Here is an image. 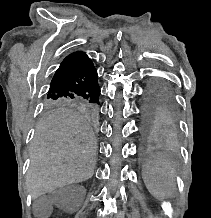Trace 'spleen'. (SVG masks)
Here are the masks:
<instances>
[{"label":"spleen","instance_id":"spleen-1","mask_svg":"<svg viewBox=\"0 0 211 218\" xmlns=\"http://www.w3.org/2000/svg\"><path fill=\"white\" fill-rule=\"evenodd\" d=\"M144 184L157 200L172 198L176 190L173 168L163 156H151L142 168Z\"/></svg>","mask_w":211,"mask_h":218}]
</instances>
